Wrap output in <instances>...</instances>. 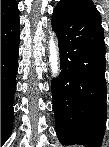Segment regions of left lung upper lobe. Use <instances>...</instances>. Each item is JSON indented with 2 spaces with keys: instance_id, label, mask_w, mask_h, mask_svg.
<instances>
[{
  "instance_id": "1",
  "label": "left lung upper lobe",
  "mask_w": 109,
  "mask_h": 147,
  "mask_svg": "<svg viewBox=\"0 0 109 147\" xmlns=\"http://www.w3.org/2000/svg\"><path fill=\"white\" fill-rule=\"evenodd\" d=\"M58 4H66L96 22L101 23V16L91 0H62ZM67 82L70 88H75L78 86L79 78L77 75L71 73L67 77Z\"/></svg>"
}]
</instances>
